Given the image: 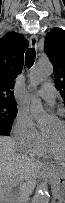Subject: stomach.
I'll list each match as a JSON object with an SVG mask.
<instances>
[{"label":"stomach","instance_id":"0dacf381","mask_svg":"<svg viewBox=\"0 0 65 203\" xmlns=\"http://www.w3.org/2000/svg\"><path fill=\"white\" fill-rule=\"evenodd\" d=\"M55 197L59 203H65V168L50 166L47 168Z\"/></svg>","mask_w":65,"mask_h":203}]
</instances>
